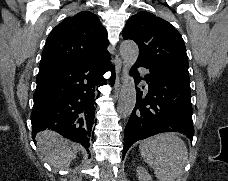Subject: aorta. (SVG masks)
<instances>
[{"label":"aorta","mask_w":228,"mask_h":181,"mask_svg":"<svg viewBox=\"0 0 228 181\" xmlns=\"http://www.w3.org/2000/svg\"><path fill=\"white\" fill-rule=\"evenodd\" d=\"M120 55L128 68L137 61L139 49L135 42L125 40L120 45ZM136 103V88L134 79L127 75L123 81L119 95L117 111L123 118H127L132 113Z\"/></svg>","instance_id":"762f6f07"}]
</instances>
